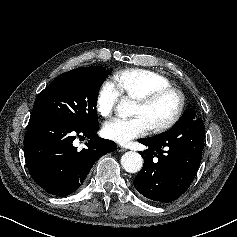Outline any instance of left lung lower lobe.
I'll list each match as a JSON object with an SVG mask.
<instances>
[{"label": "left lung lower lobe", "mask_w": 237, "mask_h": 237, "mask_svg": "<svg viewBox=\"0 0 237 237\" xmlns=\"http://www.w3.org/2000/svg\"><path fill=\"white\" fill-rule=\"evenodd\" d=\"M204 137L205 126L194 117L159 138L140 139L148 149L139 152L144 165L134 180L137 191L159 202L179 198L196 176Z\"/></svg>", "instance_id": "left-lung-lower-lobe-1"}]
</instances>
